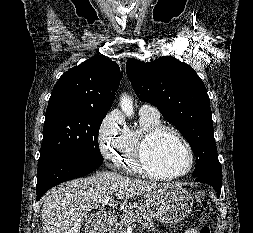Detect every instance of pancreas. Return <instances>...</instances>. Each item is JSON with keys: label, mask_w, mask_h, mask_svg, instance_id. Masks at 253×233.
Masks as SVG:
<instances>
[{"label": "pancreas", "mask_w": 253, "mask_h": 233, "mask_svg": "<svg viewBox=\"0 0 253 233\" xmlns=\"http://www.w3.org/2000/svg\"><path fill=\"white\" fill-rule=\"evenodd\" d=\"M134 222H139L145 230L152 232L156 231L152 216L146 212L143 205L133 203L125 208L117 233H125V229Z\"/></svg>", "instance_id": "cf45deb5"}]
</instances>
